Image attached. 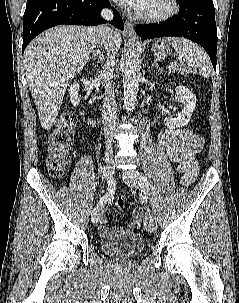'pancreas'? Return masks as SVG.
Segmentation results:
<instances>
[{
    "label": "pancreas",
    "mask_w": 239,
    "mask_h": 303,
    "mask_svg": "<svg viewBox=\"0 0 239 303\" xmlns=\"http://www.w3.org/2000/svg\"><path fill=\"white\" fill-rule=\"evenodd\" d=\"M173 72L186 75L190 73V69H188L183 63H178L176 67H173Z\"/></svg>",
    "instance_id": "pancreas-1"
}]
</instances>
